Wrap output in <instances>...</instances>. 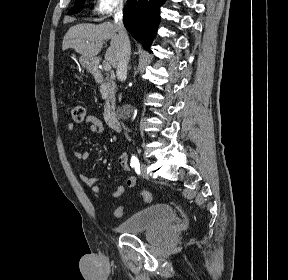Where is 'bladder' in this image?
Wrapping results in <instances>:
<instances>
[{
	"label": "bladder",
	"mask_w": 288,
	"mask_h": 280,
	"mask_svg": "<svg viewBox=\"0 0 288 280\" xmlns=\"http://www.w3.org/2000/svg\"><path fill=\"white\" fill-rule=\"evenodd\" d=\"M178 218L177 212L169 204L149 206L121 222L116 228L121 233L136 234L160 229L171 225Z\"/></svg>",
	"instance_id": "31cf9c89"
}]
</instances>
